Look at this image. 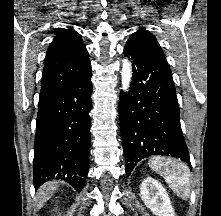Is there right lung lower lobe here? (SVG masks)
<instances>
[{"label": "right lung lower lobe", "mask_w": 221, "mask_h": 216, "mask_svg": "<svg viewBox=\"0 0 221 216\" xmlns=\"http://www.w3.org/2000/svg\"><path fill=\"white\" fill-rule=\"evenodd\" d=\"M92 72L39 99L34 145V186L61 178L78 192L88 174Z\"/></svg>", "instance_id": "1"}]
</instances>
